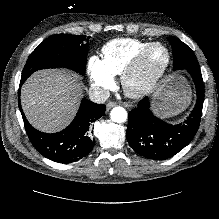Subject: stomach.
I'll list each match as a JSON object with an SVG mask.
<instances>
[{
    "label": "stomach",
    "instance_id": "0dacf381",
    "mask_svg": "<svg viewBox=\"0 0 219 219\" xmlns=\"http://www.w3.org/2000/svg\"><path fill=\"white\" fill-rule=\"evenodd\" d=\"M173 86H170L165 90L160 97V100L162 101L161 103H158L159 107L165 108L163 106L164 103H167L168 101L172 100L174 98V93L172 92Z\"/></svg>",
    "mask_w": 219,
    "mask_h": 219
}]
</instances>
